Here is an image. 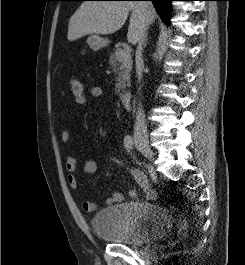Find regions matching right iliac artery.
<instances>
[{
	"mask_svg": "<svg viewBox=\"0 0 245 265\" xmlns=\"http://www.w3.org/2000/svg\"><path fill=\"white\" fill-rule=\"evenodd\" d=\"M124 147L128 152H130L133 149V138L130 135L125 136Z\"/></svg>",
	"mask_w": 245,
	"mask_h": 265,
	"instance_id": "1",
	"label": "right iliac artery"
}]
</instances>
